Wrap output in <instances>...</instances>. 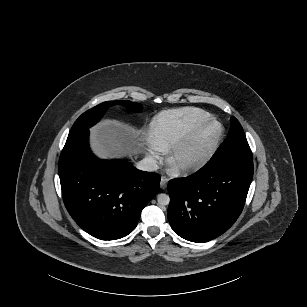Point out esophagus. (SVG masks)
Returning a JSON list of instances; mask_svg holds the SVG:
<instances>
[{
  "label": "esophagus",
  "instance_id": "1",
  "mask_svg": "<svg viewBox=\"0 0 307 307\" xmlns=\"http://www.w3.org/2000/svg\"><path fill=\"white\" fill-rule=\"evenodd\" d=\"M167 183H168V178L166 176H162L160 181V188L163 190L166 189Z\"/></svg>",
  "mask_w": 307,
  "mask_h": 307
}]
</instances>
